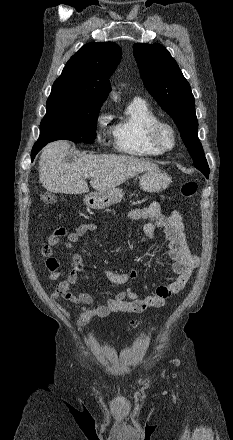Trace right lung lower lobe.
I'll use <instances>...</instances> for the list:
<instances>
[{"label":"right lung lower lobe","instance_id":"obj_1","mask_svg":"<svg viewBox=\"0 0 233 440\" xmlns=\"http://www.w3.org/2000/svg\"><path fill=\"white\" fill-rule=\"evenodd\" d=\"M45 142H36L33 146L32 152H31V160L35 158L36 154L46 145Z\"/></svg>","mask_w":233,"mask_h":440}]
</instances>
